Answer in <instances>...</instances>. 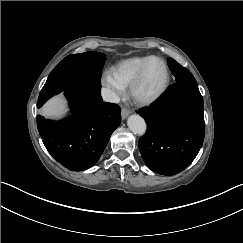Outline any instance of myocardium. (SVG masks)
I'll list each match as a JSON object with an SVG mask.
<instances>
[{"mask_svg": "<svg viewBox=\"0 0 243 243\" xmlns=\"http://www.w3.org/2000/svg\"><path fill=\"white\" fill-rule=\"evenodd\" d=\"M155 61H159L162 63V65L165 67L166 70V81L164 86L153 96L150 97H141L138 94V90L141 87L147 72L151 66V64ZM171 81H172V74H171V70L170 67L168 66V64L161 58H154L150 61H148L141 69L140 73L138 74V76L135 78V80L133 81V83L130 86V95L132 97V99L134 100V102L139 105V106H149L152 105L156 102H158L169 90L170 85H171Z\"/></svg>", "mask_w": 243, "mask_h": 243, "instance_id": "f54148a6", "label": "myocardium"}]
</instances>
